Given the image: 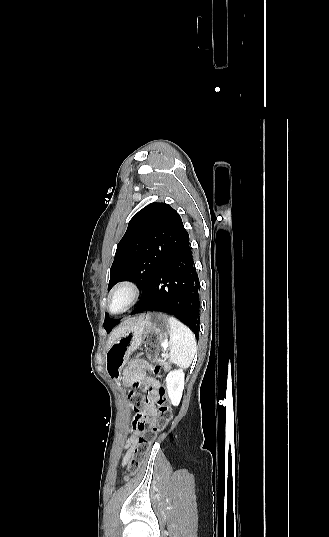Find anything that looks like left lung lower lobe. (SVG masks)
<instances>
[{"label":"left lung lower lobe","instance_id":"1","mask_svg":"<svg viewBox=\"0 0 329 537\" xmlns=\"http://www.w3.org/2000/svg\"><path fill=\"white\" fill-rule=\"evenodd\" d=\"M200 282L189 237L162 264L131 314L160 311L174 315L198 337Z\"/></svg>","mask_w":329,"mask_h":537}]
</instances>
